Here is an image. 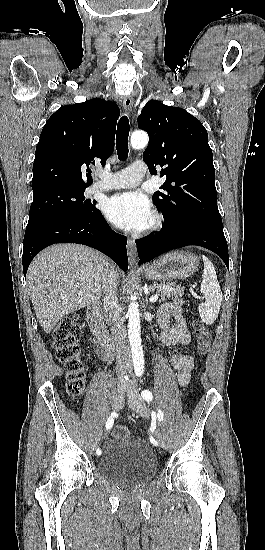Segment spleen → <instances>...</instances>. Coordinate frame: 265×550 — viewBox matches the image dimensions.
<instances>
[{
    "label": "spleen",
    "instance_id": "3e777b00",
    "mask_svg": "<svg viewBox=\"0 0 265 550\" xmlns=\"http://www.w3.org/2000/svg\"><path fill=\"white\" fill-rule=\"evenodd\" d=\"M202 258L204 273L202 275L201 292L205 297V302L199 305V314L206 325H211L218 317L222 302V292L213 264L204 255Z\"/></svg>",
    "mask_w": 265,
    "mask_h": 550
}]
</instances>
